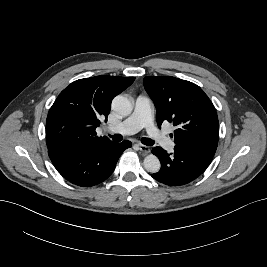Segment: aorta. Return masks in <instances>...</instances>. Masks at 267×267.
I'll return each instance as SVG.
<instances>
[{"instance_id": "1", "label": "aorta", "mask_w": 267, "mask_h": 267, "mask_svg": "<svg viewBox=\"0 0 267 267\" xmlns=\"http://www.w3.org/2000/svg\"><path fill=\"white\" fill-rule=\"evenodd\" d=\"M112 109L122 116H127L132 112L133 105L128 98L118 95L112 101ZM143 165L145 170L150 173H157L161 167L158 157L154 154L147 155L144 158Z\"/></svg>"}]
</instances>
